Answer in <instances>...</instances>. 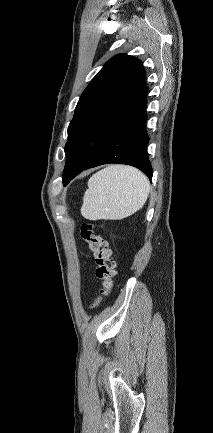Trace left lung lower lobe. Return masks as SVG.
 I'll return each instance as SVG.
<instances>
[{"instance_id":"obj_1","label":"left lung lower lobe","mask_w":213,"mask_h":433,"mask_svg":"<svg viewBox=\"0 0 213 433\" xmlns=\"http://www.w3.org/2000/svg\"><path fill=\"white\" fill-rule=\"evenodd\" d=\"M146 105L147 88L145 86L137 99L113 126L97 153L79 172L70 178L66 185L81 171L108 163L137 167L151 181L153 171L147 153L149 137L145 129Z\"/></svg>"}]
</instances>
